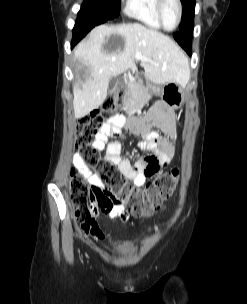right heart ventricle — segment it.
<instances>
[{
    "label": "right heart ventricle",
    "instance_id": "obj_1",
    "mask_svg": "<svg viewBox=\"0 0 247 304\" xmlns=\"http://www.w3.org/2000/svg\"><path fill=\"white\" fill-rule=\"evenodd\" d=\"M157 0H127L125 13L153 29H162L156 14Z\"/></svg>",
    "mask_w": 247,
    "mask_h": 304
}]
</instances>
